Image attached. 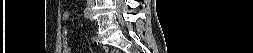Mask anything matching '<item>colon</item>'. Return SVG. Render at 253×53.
<instances>
[{
  "label": "colon",
  "instance_id": "colon-1",
  "mask_svg": "<svg viewBox=\"0 0 253 53\" xmlns=\"http://www.w3.org/2000/svg\"><path fill=\"white\" fill-rule=\"evenodd\" d=\"M92 43H93V45H96V46L100 45L99 40L96 38L92 39Z\"/></svg>",
  "mask_w": 253,
  "mask_h": 53
}]
</instances>
